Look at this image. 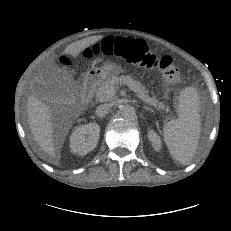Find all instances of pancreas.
<instances>
[{
    "label": "pancreas",
    "instance_id": "pancreas-1",
    "mask_svg": "<svg viewBox=\"0 0 231 231\" xmlns=\"http://www.w3.org/2000/svg\"><path fill=\"white\" fill-rule=\"evenodd\" d=\"M118 84L128 86L130 90L136 93L138 98L148 103L149 105L154 106L158 110H164L166 112L169 111V107L165 106L162 102H159L156 97H150L146 87L143 86L139 81H136L132 77L125 75H121L119 77L112 76V78H107L104 82H102L94 90L96 99L100 102L112 101L114 99L115 93H112L110 89L114 88Z\"/></svg>",
    "mask_w": 231,
    "mask_h": 231
}]
</instances>
